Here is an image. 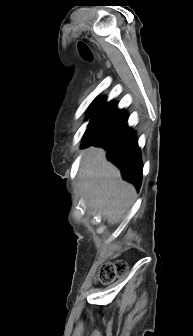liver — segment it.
<instances>
[{
    "label": "liver",
    "instance_id": "1",
    "mask_svg": "<svg viewBox=\"0 0 193 336\" xmlns=\"http://www.w3.org/2000/svg\"><path fill=\"white\" fill-rule=\"evenodd\" d=\"M80 190L88 208L107 217L108 223L120 221L135 200V189L121 180L120 171L106 159L102 148L87 150L79 170Z\"/></svg>",
    "mask_w": 193,
    "mask_h": 336
}]
</instances>
